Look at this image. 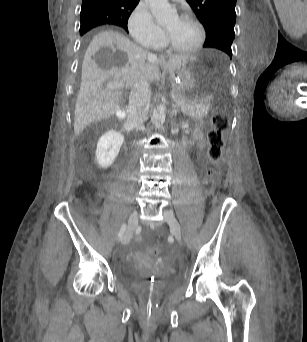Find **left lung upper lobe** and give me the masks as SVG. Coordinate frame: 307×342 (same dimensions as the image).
Segmentation results:
<instances>
[{
  "mask_svg": "<svg viewBox=\"0 0 307 342\" xmlns=\"http://www.w3.org/2000/svg\"><path fill=\"white\" fill-rule=\"evenodd\" d=\"M206 31L204 47L224 51L232 58L236 0H187Z\"/></svg>",
  "mask_w": 307,
  "mask_h": 342,
  "instance_id": "obj_1",
  "label": "left lung upper lobe"
}]
</instances>
